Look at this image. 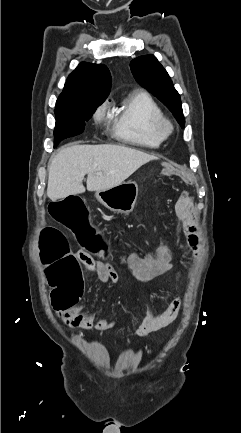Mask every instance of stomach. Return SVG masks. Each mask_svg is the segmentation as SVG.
Segmentation results:
<instances>
[{"instance_id": "obj_1", "label": "stomach", "mask_w": 241, "mask_h": 433, "mask_svg": "<svg viewBox=\"0 0 241 433\" xmlns=\"http://www.w3.org/2000/svg\"><path fill=\"white\" fill-rule=\"evenodd\" d=\"M137 182H126L110 189L96 192V199L107 209L117 213H130L138 198Z\"/></svg>"}]
</instances>
